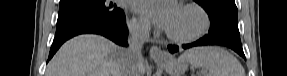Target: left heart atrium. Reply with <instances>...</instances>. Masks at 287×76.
Returning a JSON list of instances; mask_svg holds the SVG:
<instances>
[{"instance_id":"39dd6f15","label":"left heart atrium","mask_w":287,"mask_h":76,"mask_svg":"<svg viewBox=\"0 0 287 76\" xmlns=\"http://www.w3.org/2000/svg\"><path fill=\"white\" fill-rule=\"evenodd\" d=\"M133 7L138 13L166 30L174 21L179 9L172 0H137Z\"/></svg>"}]
</instances>
